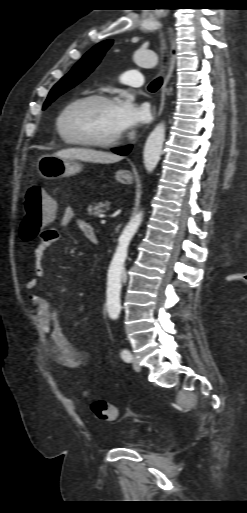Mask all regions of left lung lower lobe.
<instances>
[{
  "label": "left lung lower lobe",
  "instance_id": "1",
  "mask_svg": "<svg viewBox=\"0 0 247 513\" xmlns=\"http://www.w3.org/2000/svg\"><path fill=\"white\" fill-rule=\"evenodd\" d=\"M131 148L132 146L129 145L122 148L113 149V152L119 155H127L130 152Z\"/></svg>",
  "mask_w": 247,
  "mask_h": 513
}]
</instances>
